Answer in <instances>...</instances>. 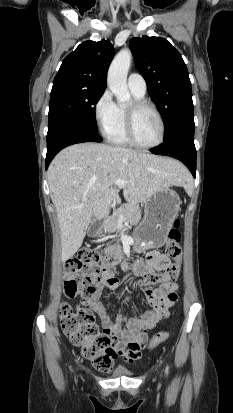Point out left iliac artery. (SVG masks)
<instances>
[{"instance_id": "1", "label": "left iliac artery", "mask_w": 233, "mask_h": 413, "mask_svg": "<svg viewBox=\"0 0 233 413\" xmlns=\"http://www.w3.org/2000/svg\"><path fill=\"white\" fill-rule=\"evenodd\" d=\"M168 369H169V367L167 366V367H166V373H167V374H168Z\"/></svg>"}]
</instances>
